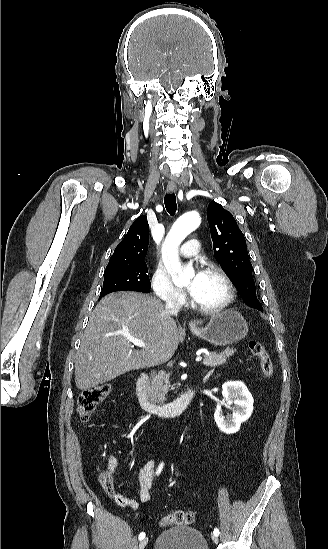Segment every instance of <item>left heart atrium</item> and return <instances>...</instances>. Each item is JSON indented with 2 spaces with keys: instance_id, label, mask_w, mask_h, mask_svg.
Here are the masks:
<instances>
[{
  "instance_id": "39dd6f15",
  "label": "left heart atrium",
  "mask_w": 328,
  "mask_h": 549,
  "mask_svg": "<svg viewBox=\"0 0 328 549\" xmlns=\"http://www.w3.org/2000/svg\"><path fill=\"white\" fill-rule=\"evenodd\" d=\"M201 276H202V273L201 272H197V273H194L192 275V279H191V282L190 284L188 285L187 287V292L189 293V295L193 298L196 293H197V289H198V286H199V283H200V280H201Z\"/></svg>"
}]
</instances>
